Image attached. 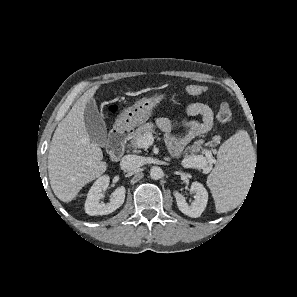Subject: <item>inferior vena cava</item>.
<instances>
[{"label": "inferior vena cava", "instance_id": "602c4592", "mask_svg": "<svg viewBox=\"0 0 297 297\" xmlns=\"http://www.w3.org/2000/svg\"><path fill=\"white\" fill-rule=\"evenodd\" d=\"M142 158L137 155H126L120 162V167L124 171L134 170L142 165Z\"/></svg>", "mask_w": 297, "mask_h": 297}]
</instances>
